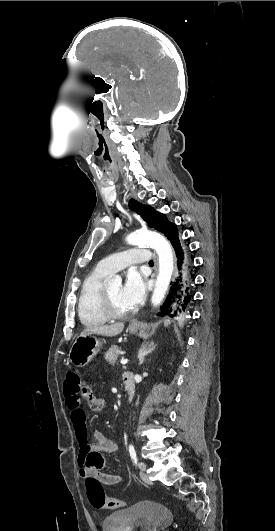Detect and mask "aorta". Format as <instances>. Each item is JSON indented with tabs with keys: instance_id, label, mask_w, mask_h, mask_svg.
Segmentation results:
<instances>
[{
	"instance_id": "1",
	"label": "aorta",
	"mask_w": 275,
	"mask_h": 531,
	"mask_svg": "<svg viewBox=\"0 0 275 531\" xmlns=\"http://www.w3.org/2000/svg\"><path fill=\"white\" fill-rule=\"evenodd\" d=\"M128 245H138L139 241H145L152 249H155L159 261V273L156 277V283L151 297L153 307L161 305L170 285L173 269L174 257L170 243L151 231H144V233H131L126 239ZM109 289L115 287H122V279L120 275H115L114 279H106Z\"/></svg>"
}]
</instances>
